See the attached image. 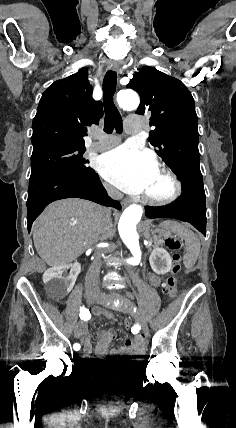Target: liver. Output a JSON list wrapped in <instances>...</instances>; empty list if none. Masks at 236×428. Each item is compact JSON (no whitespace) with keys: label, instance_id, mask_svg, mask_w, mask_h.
Wrapping results in <instances>:
<instances>
[{"label":"liver","instance_id":"obj_1","mask_svg":"<svg viewBox=\"0 0 236 428\" xmlns=\"http://www.w3.org/2000/svg\"><path fill=\"white\" fill-rule=\"evenodd\" d=\"M105 208L78 200H58L45 208L33 224V242L40 258L48 266H66L92 244L114 236Z\"/></svg>","mask_w":236,"mask_h":428}]
</instances>
